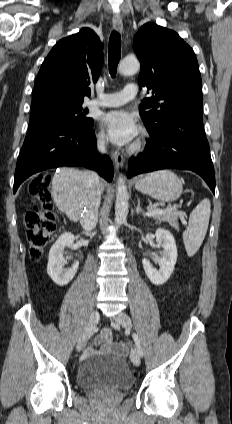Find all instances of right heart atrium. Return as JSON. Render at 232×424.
Here are the masks:
<instances>
[{"mask_svg": "<svg viewBox=\"0 0 232 424\" xmlns=\"http://www.w3.org/2000/svg\"><path fill=\"white\" fill-rule=\"evenodd\" d=\"M96 146L100 150H104L107 146V137L103 132H98L96 135Z\"/></svg>", "mask_w": 232, "mask_h": 424, "instance_id": "1", "label": "right heart atrium"}]
</instances>
